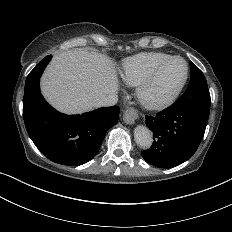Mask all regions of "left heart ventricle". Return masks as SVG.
I'll return each mask as SVG.
<instances>
[{
	"instance_id": "left-heart-ventricle-1",
	"label": "left heart ventricle",
	"mask_w": 232,
	"mask_h": 232,
	"mask_svg": "<svg viewBox=\"0 0 232 232\" xmlns=\"http://www.w3.org/2000/svg\"><path fill=\"white\" fill-rule=\"evenodd\" d=\"M186 65L182 61H173L162 69L143 91V101L158 103L167 98L182 82Z\"/></svg>"
}]
</instances>
